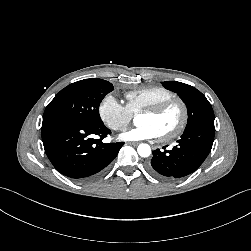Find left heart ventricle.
<instances>
[{
  "instance_id": "1",
  "label": "left heart ventricle",
  "mask_w": 251,
  "mask_h": 251,
  "mask_svg": "<svg viewBox=\"0 0 251 251\" xmlns=\"http://www.w3.org/2000/svg\"><path fill=\"white\" fill-rule=\"evenodd\" d=\"M180 117V109L177 106H173L157 116L141 113L137 118V122L138 124H149L153 126L158 134L161 135L172 131L178 125Z\"/></svg>"
}]
</instances>
